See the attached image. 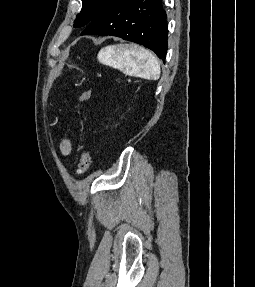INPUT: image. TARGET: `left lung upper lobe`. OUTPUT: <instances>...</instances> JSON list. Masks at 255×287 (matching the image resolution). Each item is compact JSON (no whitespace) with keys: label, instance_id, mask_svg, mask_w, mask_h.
Masks as SVG:
<instances>
[{"label":"left lung upper lobe","instance_id":"5c2ea615","mask_svg":"<svg viewBox=\"0 0 255 287\" xmlns=\"http://www.w3.org/2000/svg\"><path fill=\"white\" fill-rule=\"evenodd\" d=\"M111 1L112 0H82V10L76 17L74 27L77 28L88 25Z\"/></svg>","mask_w":255,"mask_h":287}]
</instances>
